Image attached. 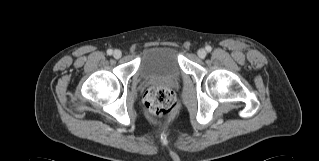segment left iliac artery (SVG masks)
<instances>
[{"instance_id": "44dca946", "label": "left iliac artery", "mask_w": 319, "mask_h": 161, "mask_svg": "<svg viewBox=\"0 0 319 161\" xmlns=\"http://www.w3.org/2000/svg\"><path fill=\"white\" fill-rule=\"evenodd\" d=\"M206 50L210 52L212 50L211 46H206Z\"/></svg>"}]
</instances>
